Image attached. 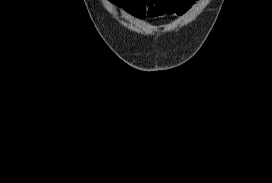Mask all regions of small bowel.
I'll return each mask as SVG.
<instances>
[{
	"instance_id": "small-bowel-1",
	"label": "small bowel",
	"mask_w": 272,
	"mask_h": 183,
	"mask_svg": "<svg viewBox=\"0 0 272 183\" xmlns=\"http://www.w3.org/2000/svg\"><path fill=\"white\" fill-rule=\"evenodd\" d=\"M128 14L139 18H158L166 14L185 13L194 0H110Z\"/></svg>"
}]
</instances>
